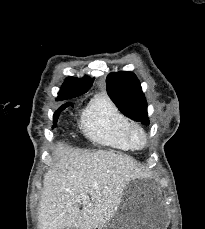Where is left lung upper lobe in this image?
Instances as JSON below:
<instances>
[{"label":"left lung upper lobe","mask_w":205,"mask_h":229,"mask_svg":"<svg viewBox=\"0 0 205 229\" xmlns=\"http://www.w3.org/2000/svg\"><path fill=\"white\" fill-rule=\"evenodd\" d=\"M106 84L108 95L124 115L149 124L146 99L134 73H110Z\"/></svg>","instance_id":"1"}]
</instances>
